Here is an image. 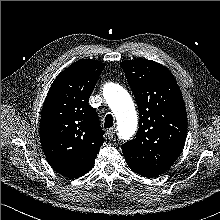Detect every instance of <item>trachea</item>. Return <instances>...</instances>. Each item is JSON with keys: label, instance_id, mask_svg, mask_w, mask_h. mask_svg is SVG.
<instances>
[{"label": "trachea", "instance_id": "trachea-1", "mask_svg": "<svg viewBox=\"0 0 220 220\" xmlns=\"http://www.w3.org/2000/svg\"><path fill=\"white\" fill-rule=\"evenodd\" d=\"M113 116L111 114H107L105 117L104 128H110L113 126Z\"/></svg>", "mask_w": 220, "mask_h": 220}]
</instances>
